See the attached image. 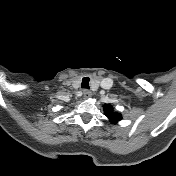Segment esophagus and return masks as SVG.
<instances>
[{
    "instance_id": "1",
    "label": "esophagus",
    "mask_w": 176,
    "mask_h": 176,
    "mask_svg": "<svg viewBox=\"0 0 176 176\" xmlns=\"http://www.w3.org/2000/svg\"><path fill=\"white\" fill-rule=\"evenodd\" d=\"M91 92L88 90V89H84L83 90V96H84V98H90L91 97Z\"/></svg>"
}]
</instances>
